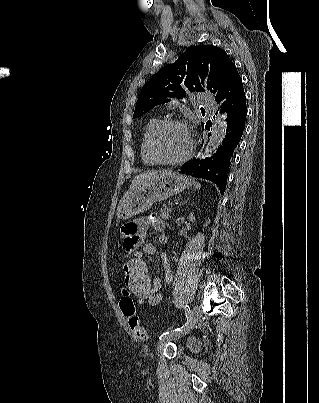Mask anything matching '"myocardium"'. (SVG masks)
<instances>
[{"label":"myocardium","mask_w":319,"mask_h":403,"mask_svg":"<svg viewBox=\"0 0 319 403\" xmlns=\"http://www.w3.org/2000/svg\"><path fill=\"white\" fill-rule=\"evenodd\" d=\"M172 125L180 126L187 131L188 136H189V148H188V151L180 158L164 159L158 155V153L155 149L156 138L164 128H166L168 126H172ZM194 149H195V142H194V138H193L190 127L183 120H180L177 118H167V119L161 120V122L151 132L149 140H148L149 154L157 163H160V164H168V165L182 164V163L188 161L192 157V155L194 153Z\"/></svg>","instance_id":"myocardium-1"}]
</instances>
